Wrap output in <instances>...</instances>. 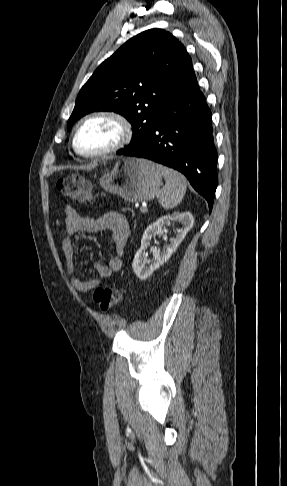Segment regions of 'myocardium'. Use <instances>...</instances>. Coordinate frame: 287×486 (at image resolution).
Returning a JSON list of instances; mask_svg holds the SVG:
<instances>
[{
    "label": "myocardium",
    "mask_w": 287,
    "mask_h": 486,
    "mask_svg": "<svg viewBox=\"0 0 287 486\" xmlns=\"http://www.w3.org/2000/svg\"><path fill=\"white\" fill-rule=\"evenodd\" d=\"M95 119H107L114 122L118 129H119V137L117 141L111 145L110 147L98 151V152H83L77 146V135L80 129L90 121ZM133 136V128L130 121L121 113L112 111V110H98L91 112L81 118L78 123L75 125L73 134H72V147L76 154L84 158H101L112 153L119 151L120 149L124 148L132 139Z\"/></svg>",
    "instance_id": "myocardium-1"
}]
</instances>
